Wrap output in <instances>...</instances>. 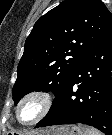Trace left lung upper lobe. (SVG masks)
I'll return each mask as SVG.
<instances>
[{
    "label": "left lung upper lobe",
    "instance_id": "5c2ea615",
    "mask_svg": "<svg viewBox=\"0 0 112 135\" xmlns=\"http://www.w3.org/2000/svg\"><path fill=\"white\" fill-rule=\"evenodd\" d=\"M111 24L112 14L101 0H65L39 18L18 65L14 104L32 91L57 96Z\"/></svg>",
    "mask_w": 112,
    "mask_h": 135
}]
</instances>
